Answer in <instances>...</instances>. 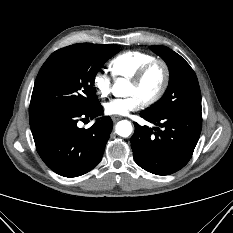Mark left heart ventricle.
Wrapping results in <instances>:
<instances>
[{
  "instance_id": "b2bd125f",
  "label": "left heart ventricle",
  "mask_w": 233,
  "mask_h": 233,
  "mask_svg": "<svg viewBox=\"0 0 233 233\" xmlns=\"http://www.w3.org/2000/svg\"><path fill=\"white\" fill-rule=\"evenodd\" d=\"M163 80V70L160 65H156L147 73L140 85L131 82L127 88V95H136L142 102L151 98L160 88Z\"/></svg>"
}]
</instances>
